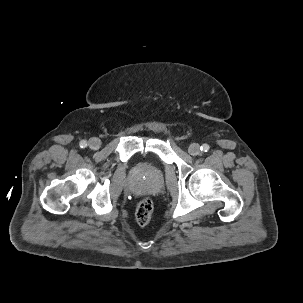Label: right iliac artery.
<instances>
[{"label": "right iliac artery", "mask_w": 303, "mask_h": 303, "mask_svg": "<svg viewBox=\"0 0 303 303\" xmlns=\"http://www.w3.org/2000/svg\"><path fill=\"white\" fill-rule=\"evenodd\" d=\"M79 144L81 148H85L87 146V142L85 140H82Z\"/></svg>", "instance_id": "obj_1"}]
</instances>
